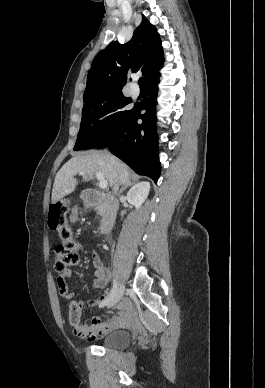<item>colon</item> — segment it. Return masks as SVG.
I'll return each instance as SVG.
<instances>
[{
  "label": "colon",
  "instance_id": "colon-1",
  "mask_svg": "<svg viewBox=\"0 0 265 388\" xmlns=\"http://www.w3.org/2000/svg\"><path fill=\"white\" fill-rule=\"evenodd\" d=\"M67 211L68 202L60 200L51 205L48 217L49 227L57 232L60 239V244L54 250V269L59 273L77 264L79 260L80 245L67 224Z\"/></svg>",
  "mask_w": 265,
  "mask_h": 388
}]
</instances>
